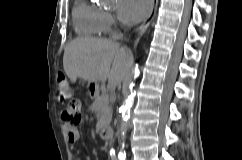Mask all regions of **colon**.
<instances>
[{
    "instance_id": "colon-1",
    "label": "colon",
    "mask_w": 242,
    "mask_h": 160,
    "mask_svg": "<svg viewBox=\"0 0 242 160\" xmlns=\"http://www.w3.org/2000/svg\"><path fill=\"white\" fill-rule=\"evenodd\" d=\"M72 91L66 77L63 74L58 76V101L61 104L68 103L71 99ZM72 106L73 109L67 112V118L72 123L77 124L79 122V113L75 109L74 103H70L68 107Z\"/></svg>"
}]
</instances>
